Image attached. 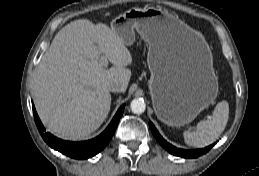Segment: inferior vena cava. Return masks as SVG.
<instances>
[{
    "instance_id": "inferior-vena-cava-1",
    "label": "inferior vena cava",
    "mask_w": 259,
    "mask_h": 176,
    "mask_svg": "<svg viewBox=\"0 0 259 176\" xmlns=\"http://www.w3.org/2000/svg\"><path fill=\"white\" fill-rule=\"evenodd\" d=\"M108 89H109V91H111V92H120V87H119V85H118V84H115V83L110 84V85L108 86Z\"/></svg>"
}]
</instances>
